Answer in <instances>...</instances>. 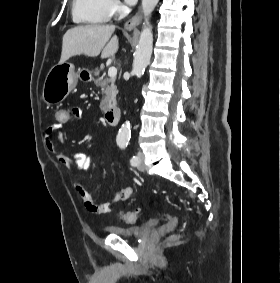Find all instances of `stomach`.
Segmentation results:
<instances>
[{"mask_svg": "<svg viewBox=\"0 0 280 283\" xmlns=\"http://www.w3.org/2000/svg\"><path fill=\"white\" fill-rule=\"evenodd\" d=\"M84 70L76 71L70 63H58L54 65L46 75L42 99L47 104L62 102L76 87L78 79Z\"/></svg>", "mask_w": 280, "mask_h": 283, "instance_id": "obj_1", "label": "stomach"}]
</instances>
